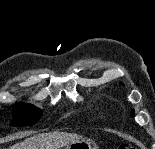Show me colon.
I'll list each match as a JSON object with an SVG mask.
<instances>
[{
    "mask_svg": "<svg viewBox=\"0 0 155 149\" xmlns=\"http://www.w3.org/2000/svg\"><path fill=\"white\" fill-rule=\"evenodd\" d=\"M117 149H132V146L129 143L120 144Z\"/></svg>",
    "mask_w": 155,
    "mask_h": 149,
    "instance_id": "1",
    "label": "colon"
}]
</instances>
